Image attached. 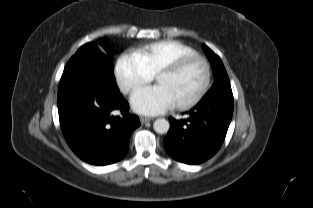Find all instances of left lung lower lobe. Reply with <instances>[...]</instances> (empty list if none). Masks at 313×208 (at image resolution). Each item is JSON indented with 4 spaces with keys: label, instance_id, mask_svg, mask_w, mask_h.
<instances>
[{
    "label": "left lung lower lobe",
    "instance_id": "obj_1",
    "mask_svg": "<svg viewBox=\"0 0 313 208\" xmlns=\"http://www.w3.org/2000/svg\"><path fill=\"white\" fill-rule=\"evenodd\" d=\"M233 105V95H211L188 111L189 118L170 117V129L163 140L167 153L186 164H199L211 158L225 139Z\"/></svg>",
    "mask_w": 313,
    "mask_h": 208
}]
</instances>
